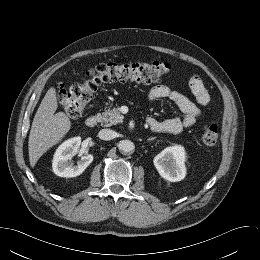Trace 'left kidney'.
Returning a JSON list of instances; mask_svg holds the SVG:
<instances>
[{
    "mask_svg": "<svg viewBox=\"0 0 260 260\" xmlns=\"http://www.w3.org/2000/svg\"><path fill=\"white\" fill-rule=\"evenodd\" d=\"M185 150L180 145L170 146L155 156L154 165L164 179L177 182L186 175Z\"/></svg>",
    "mask_w": 260,
    "mask_h": 260,
    "instance_id": "1",
    "label": "left kidney"
}]
</instances>
